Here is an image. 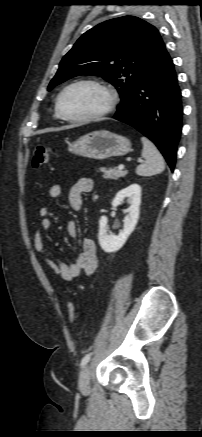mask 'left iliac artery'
I'll list each match as a JSON object with an SVG mask.
<instances>
[{"label":"left iliac artery","mask_w":202,"mask_h":437,"mask_svg":"<svg viewBox=\"0 0 202 437\" xmlns=\"http://www.w3.org/2000/svg\"><path fill=\"white\" fill-rule=\"evenodd\" d=\"M91 354H86L81 360V367H84L90 360Z\"/></svg>","instance_id":"obj_1"}]
</instances>
